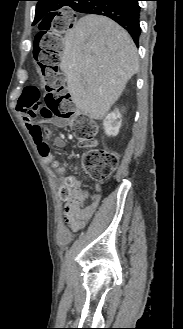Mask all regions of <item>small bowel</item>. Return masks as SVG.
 I'll use <instances>...</instances> for the list:
<instances>
[{
	"instance_id": "c3829d8e",
	"label": "small bowel",
	"mask_w": 183,
	"mask_h": 329,
	"mask_svg": "<svg viewBox=\"0 0 183 329\" xmlns=\"http://www.w3.org/2000/svg\"><path fill=\"white\" fill-rule=\"evenodd\" d=\"M22 121L24 122L26 129L28 130L33 142L36 144L40 155L46 160L50 161L53 157L52 153L49 151L47 153H42L40 150V146L43 141H45L42 131L37 130L35 127L38 126L35 123L34 117L30 114H19ZM60 125H65V121H60ZM39 127V126H38ZM66 139L64 137H57L54 140V145L56 147H63L65 145ZM70 183L74 188H76L80 192V201L77 205L73 206L67 204L65 207V219L66 222L75 230L83 227L93 216L96 209L98 208L100 202V194L98 192L92 194L90 196V202L88 204H84L88 195L84 190L81 181H79L76 177H70Z\"/></svg>"
}]
</instances>
